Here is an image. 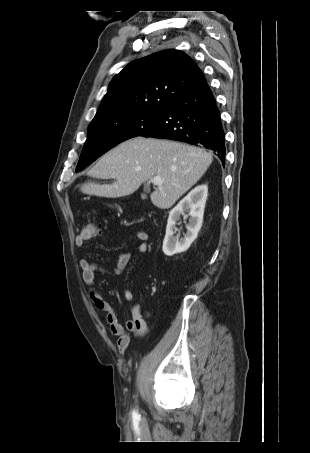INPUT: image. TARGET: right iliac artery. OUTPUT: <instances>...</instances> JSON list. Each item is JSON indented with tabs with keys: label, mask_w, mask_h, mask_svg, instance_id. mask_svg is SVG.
<instances>
[{
	"label": "right iliac artery",
	"mask_w": 310,
	"mask_h": 453,
	"mask_svg": "<svg viewBox=\"0 0 310 453\" xmlns=\"http://www.w3.org/2000/svg\"><path fill=\"white\" fill-rule=\"evenodd\" d=\"M133 415H134V416H137V413H136V412H133Z\"/></svg>",
	"instance_id": "1"
}]
</instances>
